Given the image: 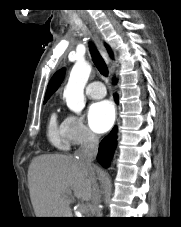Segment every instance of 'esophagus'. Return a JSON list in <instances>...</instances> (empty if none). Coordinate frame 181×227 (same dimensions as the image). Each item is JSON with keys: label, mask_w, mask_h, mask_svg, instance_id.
<instances>
[{"label": "esophagus", "mask_w": 181, "mask_h": 227, "mask_svg": "<svg viewBox=\"0 0 181 227\" xmlns=\"http://www.w3.org/2000/svg\"><path fill=\"white\" fill-rule=\"evenodd\" d=\"M89 26L91 28V31H92V34L94 36L95 41L101 47V49L103 51V55L107 58V54L105 53V51L103 49V46H102V43H101L100 38L98 36V31H97L96 27L94 25H91L90 23H89Z\"/></svg>", "instance_id": "1"}]
</instances>
